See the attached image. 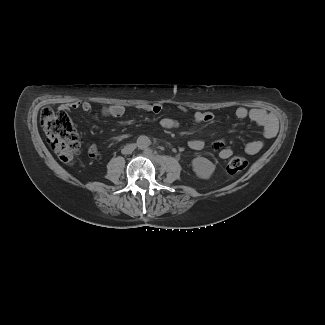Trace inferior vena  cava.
<instances>
[{
    "label": "inferior vena cava",
    "instance_id": "obj_1",
    "mask_svg": "<svg viewBox=\"0 0 325 325\" xmlns=\"http://www.w3.org/2000/svg\"><path fill=\"white\" fill-rule=\"evenodd\" d=\"M136 148V145L135 144H129V145H126L122 150H121V153L122 154H131L134 149Z\"/></svg>",
    "mask_w": 325,
    "mask_h": 325
}]
</instances>
